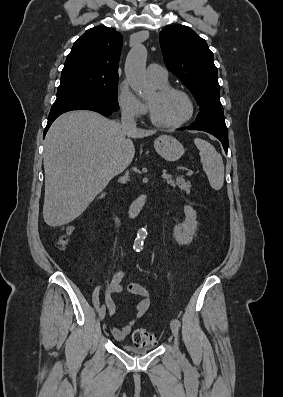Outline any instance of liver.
<instances>
[{
  "label": "liver",
  "mask_w": 283,
  "mask_h": 397,
  "mask_svg": "<svg viewBox=\"0 0 283 397\" xmlns=\"http://www.w3.org/2000/svg\"><path fill=\"white\" fill-rule=\"evenodd\" d=\"M154 130L124 129L93 111H70L58 117L44 143L43 218L50 227L80 216L114 178L132 162V138Z\"/></svg>",
  "instance_id": "1"
}]
</instances>
